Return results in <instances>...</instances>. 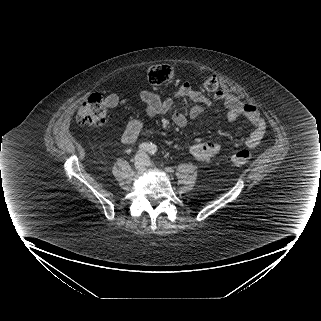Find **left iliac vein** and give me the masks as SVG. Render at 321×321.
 Wrapping results in <instances>:
<instances>
[{"instance_id": "left-iliac-vein-1", "label": "left iliac vein", "mask_w": 321, "mask_h": 321, "mask_svg": "<svg viewBox=\"0 0 321 321\" xmlns=\"http://www.w3.org/2000/svg\"><path fill=\"white\" fill-rule=\"evenodd\" d=\"M147 166H151V164H150V163H148V164H147Z\"/></svg>"}]
</instances>
